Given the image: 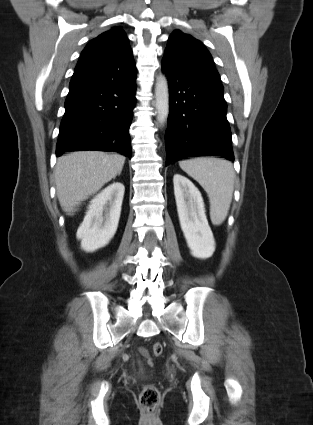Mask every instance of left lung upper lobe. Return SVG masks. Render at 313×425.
Returning a JSON list of instances; mask_svg holds the SVG:
<instances>
[{
  "label": "left lung upper lobe",
  "instance_id": "5c2ea615",
  "mask_svg": "<svg viewBox=\"0 0 313 425\" xmlns=\"http://www.w3.org/2000/svg\"><path fill=\"white\" fill-rule=\"evenodd\" d=\"M163 60L190 76L221 82L206 47L199 40L180 30H175L170 35Z\"/></svg>",
  "mask_w": 313,
  "mask_h": 425
}]
</instances>
